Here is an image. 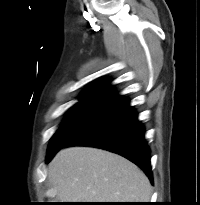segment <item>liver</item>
I'll return each instance as SVG.
<instances>
[{
	"mask_svg": "<svg viewBox=\"0 0 200 205\" xmlns=\"http://www.w3.org/2000/svg\"><path fill=\"white\" fill-rule=\"evenodd\" d=\"M48 177L62 202H149L152 191L136 165L90 147L62 149L50 162Z\"/></svg>",
	"mask_w": 200,
	"mask_h": 205,
	"instance_id": "obj_1",
	"label": "liver"
}]
</instances>
